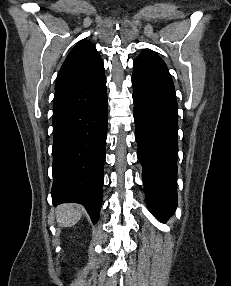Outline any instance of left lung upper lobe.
<instances>
[{
  "label": "left lung upper lobe",
  "mask_w": 231,
  "mask_h": 286,
  "mask_svg": "<svg viewBox=\"0 0 231 286\" xmlns=\"http://www.w3.org/2000/svg\"><path fill=\"white\" fill-rule=\"evenodd\" d=\"M137 58L165 65L164 61L154 51L150 49H145Z\"/></svg>",
  "instance_id": "obj_1"
}]
</instances>
